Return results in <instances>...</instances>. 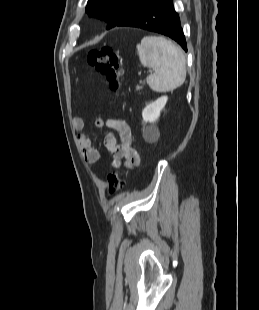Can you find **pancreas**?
I'll return each instance as SVG.
<instances>
[{
  "label": "pancreas",
  "instance_id": "pancreas-1",
  "mask_svg": "<svg viewBox=\"0 0 259 310\" xmlns=\"http://www.w3.org/2000/svg\"><path fill=\"white\" fill-rule=\"evenodd\" d=\"M140 83H142V81H140ZM140 89H142V86H137L136 87V90H140Z\"/></svg>",
  "mask_w": 259,
  "mask_h": 310
}]
</instances>
